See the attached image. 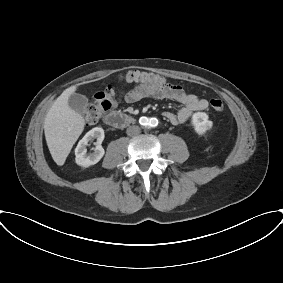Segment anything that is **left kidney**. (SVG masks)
<instances>
[{
	"label": "left kidney",
	"instance_id": "obj_1",
	"mask_svg": "<svg viewBox=\"0 0 283 283\" xmlns=\"http://www.w3.org/2000/svg\"><path fill=\"white\" fill-rule=\"evenodd\" d=\"M191 122L194 126L195 132L198 134H204L213 126L212 121L208 120V115L205 112L194 113Z\"/></svg>",
	"mask_w": 283,
	"mask_h": 283
}]
</instances>
